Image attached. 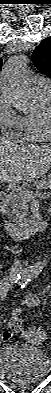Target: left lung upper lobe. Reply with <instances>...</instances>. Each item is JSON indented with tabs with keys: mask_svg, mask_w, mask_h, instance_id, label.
<instances>
[{
	"mask_svg": "<svg viewBox=\"0 0 51 393\" xmlns=\"http://www.w3.org/2000/svg\"><path fill=\"white\" fill-rule=\"evenodd\" d=\"M36 68L51 78V37H47L35 48L32 54Z\"/></svg>",
	"mask_w": 51,
	"mask_h": 393,
	"instance_id": "left-lung-upper-lobe-1",
	"label": "left lung upper lobe"
}]
</instances>
